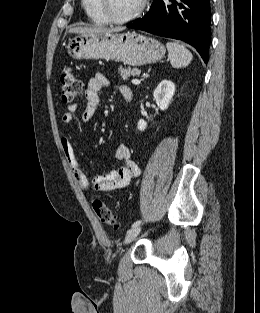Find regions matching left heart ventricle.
Instances as JSON below:
<instances>
[{"label": "left heart ventricle", "mask_w": 260, "mask_h": 313, "mask_svg": "<svg viewBox=\"0 0 260 313\" xmlns=\"http://www.w3.org/2000/svg\"><path fill=\"white\" fill-rule=\"evenodd\" d=\"M110 11L116 17H125L134 12L141 0H109Z\"/></svg>", "instance_id": "1"}]
</instances>
